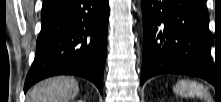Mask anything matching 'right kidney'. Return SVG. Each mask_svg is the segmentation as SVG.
<instances>
[{"instance_id": "1", "label": "right kidney", "mask_w": 221, "mask_h": 102, "mask_svg": "<svg viewBox=\"0 0 221 102\" xmlns=\"http://www.w3.org/2000/svg\"><path fill=\"white\" fill-rule=\"evenodd\" d=\"M79 102H83V100H79Z\"/></svg>"}]
</instances>
